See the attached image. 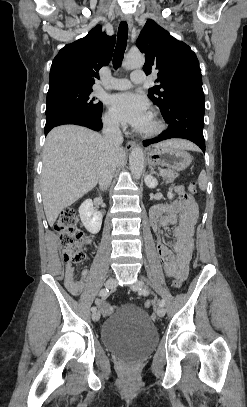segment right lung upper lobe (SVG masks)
Masks as SVG:
<instances>
[{
    "label": "right lung upper lobe",
    "mask_w": 247,
    "mask_h": 407,
    "mask_svg": "<svg viewBox=\"0 0 247 407\" xmlns=\"http://www.w3.org/2000/svg\"><path fill=\"white\" fill-rule=\"evenodd\" d=\"M115 36L94 27L84 38L62 48L50 70L49 91L73 87L88 88L94 84L99 69L112 59Z\"/></svg>",
    "instance_id": "1"
}]
</instances>
